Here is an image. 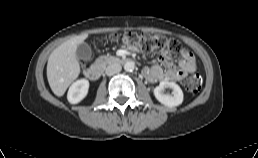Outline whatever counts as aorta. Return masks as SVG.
Masks as SVG:
<instances>
[{"instance_id":"aorta-1","label":"aorta","mask_w":258,"mask_h":158,"mask_svg":"<svg viewBox=\"0 0 258 158\" xmlns=\"http://www.w3.org/2000/svg\"><path fill=\"white\" fill-rule=\"evenodd\" d=\"M135 64L132 61H127L124 64V70L127 72H132L134 70Z\"/></svg>"}]
</instances>
